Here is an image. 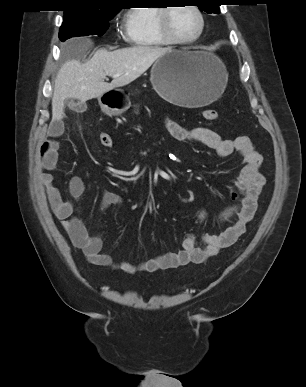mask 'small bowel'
<instances>
[{
    "label": "small bowel",
    "instance_id": "1",
    "mask_svg": "<svg viewBox=\"0 0 306 387\" xmlns=\"http://www.w3.org/2000/svg\"><path fill=\"white\" fill-rule=\"evenodd\" d=\"M169 133L180 142H198L214 150L219 157L225 158L237 152L244 165L237 178V188L231 191V198L236 202L220 215L221 220L233 219V222L219 234H205L198 244L194 234H188L182 242V250L167 252L134 264L127 260L115 263L111 256L102 252V239L99 235H91L83 221L76 215L75 202L85 192V183L79 176L69 180L71 199L63 198L60 190L53 185V172L58 164L57 138L63 133L61 120L54 121L48 130V138L42 143L39 151L38 177L45 187L47 199L54 215L60 220L63 229L68 234L75 247L80 249L93 265L112 267L127 274L138 272L153 273L160 270L177 268L189 264H202L215 256L224 248L233 245L245 231L247 224L253 219L257 210L258 197L265 184V178L260 172L262 156L256 150L253 142L247 136L234 140L222 139L214 130L198 126L186 128L174 120L167 119ZM123 204V198L116 192H106L101 200V211L105 212L111 206ZM207 218L206 211L199 214V222Z\"/></svg>",
    "mask_w": 306,
    "mask_h": 387
}]
</instances>
